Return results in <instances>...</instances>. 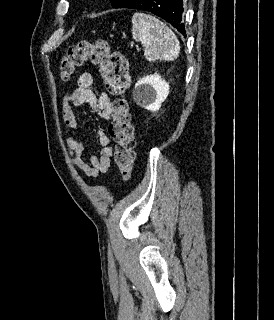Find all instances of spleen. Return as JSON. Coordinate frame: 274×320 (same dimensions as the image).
I'll use <instances>...</instances> for the list:
<instances>
[{"instance_id":"1","label":"spleen","mask_w":274,"mask_h":320,"mask_svg":"<svg viewBox=\"0 0 274 320\" xmlns=\"http://www.w3.org/2000/svg\"><path fill=\"white\" fill-rule=\"evenodd\" d=\"M132 34L133 40L141 42L148 62H173L178 58L179 42L174 32L158 18L137 12L132 18Z\"/></svg>"}]
</instances>
